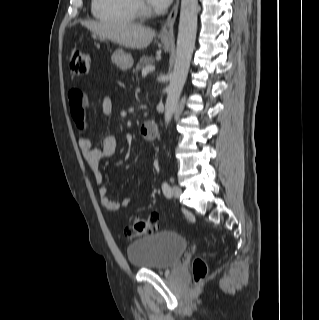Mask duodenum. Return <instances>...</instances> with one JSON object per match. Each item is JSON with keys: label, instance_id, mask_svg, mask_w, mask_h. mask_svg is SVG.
I'll return each instance as SVG.
<instances>
[{"label": "duodenum", "instance_id": "1", "mask_svg": "<svg viewBox=\"0 0 319 320\" xmlns=\"http://www.w3.org/2000/svg\"><path fill=\"white\" fill-rule=\"evenodd\" d=\"M140 134L148 140L156 139L159 134V127L155 121H145L140 126Z\"/></svg>", "mask_w": 319, "mask_h": 320}]
</instances>
